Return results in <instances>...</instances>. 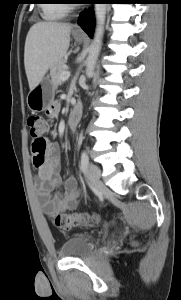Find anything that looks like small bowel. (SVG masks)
Listing matches in <instances>:
<instances>
[{
  "label": "small bowel",
  "instance_id": "1",
  "mask_svg": "<svg viewBox=\"0 0 181 300\" xmlns=\"http://www.w3.org/2000/svg\"><path fill=\"white\" fill-rule=\"evenodd\" d=\"M60 110V103L55 101L47 109L50 116H55ZM54 134V132H52ZM33 164L37 168L36 188L37 195L42 203L44 213L48 215L73 209L77 206L79 189L77 180L68 177L63 183L59 177V151L58 146L49 141L44 153L32 151ZM63 186V193L58 189Z\"/></svg>",
  "mask_w": 181,
  "mask_h": 300
}]
</instances>
